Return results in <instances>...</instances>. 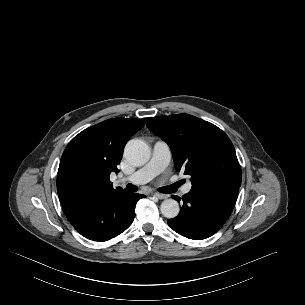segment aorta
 I'll use <instances>...</instances> for the list:
<instances>
[{
	"label": "aorta",
	"instance_id": "obj_1",
	"mask_svg": "<svg viewBox=\"0 0 305 305\" xmlns=\"http://www.w3.org/2000/svg\"><path fill=\"white\" fill-rule=\"evenodd\" d=\"M124 156L128 162L135 166L145 164L150 158L148 145L138 139L130 140L124 149ZM161 213L166 218H175L179 214V204L174 199H166L161 203Z\"/></svg>",
	"mask_w": 305,
	"mask_h": 305
}]
</instances>
